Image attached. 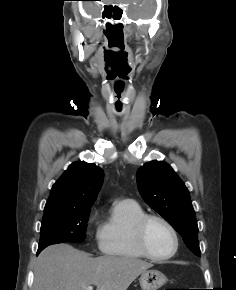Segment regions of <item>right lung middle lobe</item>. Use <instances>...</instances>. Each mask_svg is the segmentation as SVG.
Segmentation results:
<instances>
[{"label":"right lung middle lobe","instance_id":"right-lung-middle-lobe-1","mask_svg":"<svg viewBox=\"0 0 236 290\" xmlns=\"http://www.w3.org/2000/svg\"><path fill=\"white\" fill-rule=\"evenodd\" d=\"M88 216L89 210L44 212L37 253L51 244L84 241Z\"/></svg>","mask_w":236,"mask_h":290}]
</instances>
